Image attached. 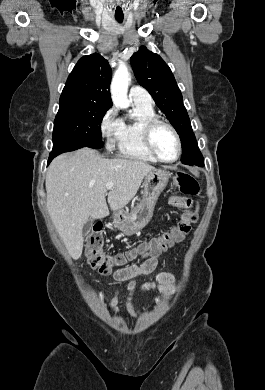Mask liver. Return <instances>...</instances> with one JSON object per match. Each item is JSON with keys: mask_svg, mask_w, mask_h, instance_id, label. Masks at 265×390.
<instances>
[{"mask_svg": "<svg viewBox=\"0 0 265 390\" xmlns=\"http://www.w3.org/2000/svg\"><path fill=\"white\" fill-rule=\"evenodd\" d=\"M153 170L146 162L106 159L90 148L62 154L51 162L46 174L47 210L73 259L82 254V230L88 218L109 215L106 196L112 211L122 209ZM107 183H113L109 192Z\"/></svg>", "mask_w": 265, "mask_h": 390, "instance_id": "obj_1", "label": "liver"}]
</instances>
